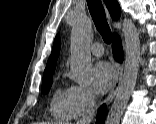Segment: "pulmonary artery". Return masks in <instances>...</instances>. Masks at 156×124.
<instances>
[{
    "label": "pulmonary artery",
    "mask_w": 156,
    "mask_h": 124,
    "mask_svg": "<svg viewBox=\"0 0 156 124\" xmlns=\"http://www.w3.org/2000/svg\"><path fill=\"white\" fill-rule=\"evenodd\" d=\"M90 51L93 55L99 57L103 55L104 49L101 43L96 42L90 46Z\"/></svg>",
    "instance_id": "pulmonary-artery-1"
}]
</instances>
